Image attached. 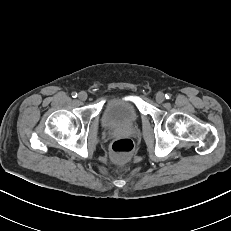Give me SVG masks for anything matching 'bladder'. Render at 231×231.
<instances>
[{"mask_svg":"<svg viewBox=\"0 0 231 231\" xmlns=\"http://www.w3.org/2000/svg\"><path fill=\"white\" fill-rule=\"evenodd\" d=\"M139 119V112L135 103L127 98H110L101 117L105 127H126L135 124Z\"/></svg>","mask_w":231,"mask_h":231,"instance_id":"bladder-1","label":"bladder"}]
</instances>
